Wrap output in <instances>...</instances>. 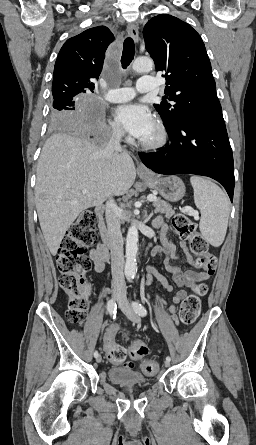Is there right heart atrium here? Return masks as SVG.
<instances>
[{"mask_svg": "<svg viewBox=\"0 0 256 445\" xmlns=\"http://www.w3.org/2000/svg\"><path fill=\"white\" fill-rule=\"evenodd\" d=\"M109 131H110V135H111V137H113V138H115V139H120V138H122V136H123V131H122V129H121L120 126H119L116 122H114V121H111V122L109 123Z\"/></svg>", "mask_w": 256, "mask_h": 445, "instance_id": "obj_1", "label": "right heart atrium"}]
</instances>
